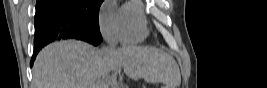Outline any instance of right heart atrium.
Here are the masks:
<instances>
[{"mask_svg":"<svg viewBox=\"0 0 267 88\" xmlns=\"http://www.w3.org/2000/svg\"><path fill=\"white\" fill-rule=\"evenodd\" d=\"M98 22L101 34L109 44L121 41V11L111 1L102 5Z\"/></svg>","mask_w":267,"mask_h":88,"instance_id":"right-heart-atrium-1","label":"right heart atrium"}]
</instances>
